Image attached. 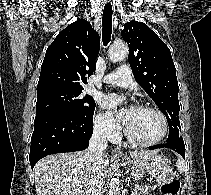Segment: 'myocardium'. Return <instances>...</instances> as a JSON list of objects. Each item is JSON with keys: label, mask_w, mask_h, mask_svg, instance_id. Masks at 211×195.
Listing matches in <instances>:
<instances>
[{"label": "myocardium", "mask_w": 211, "mask_h": 195, "mask_svg": "<svg viewBox=\"0 0 211 195\" xmlns=\"http://www.w3.org/2000/svg\"><path fill=\"white\" fill-rule=\"evenodd\" d=\"M137 109L140 110H148V111H153L155 112L162 121L163 124V131L162 134L155 140L152 141H140L135 139L128 131L126 125H124V135L126 137V139L133 145L136 146H140V147H149V146H153L156 145L158 143H160L162 140H164V138L167 136L168 134V130H169V125H168V121L167 118L165 116V114L157 107L151 106V105H139L136 107Z\"/></svg>", "instance_id": "f54148a6"}]
</instances>
